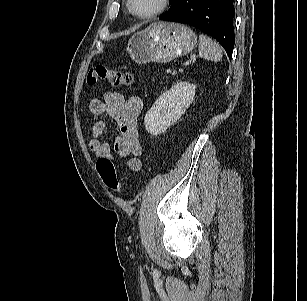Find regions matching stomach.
<instances>
[{
	"mask_svg": "<svg viewBox=\"0 0 307 301\" xmlns=\"http://www.w3.org/2000/svg\"><path fill=\"white\" fill-rule=\"evenodd\" d=\"M196 43L197 37L189 27L156 22L135 33L128 41L127 51L139 64L151 61L165 63L189 54Z\"/></svg>",
	"mask_w": 307,
	"mask_h": 301,
	"instance_id": "0dacf381",
	"label": "stomach"
}]
</instances>
